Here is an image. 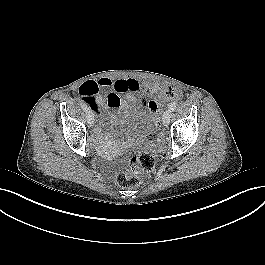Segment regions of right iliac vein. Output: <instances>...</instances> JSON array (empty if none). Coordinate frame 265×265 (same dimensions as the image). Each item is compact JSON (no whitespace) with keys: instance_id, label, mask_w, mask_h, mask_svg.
<instances>
[{"instance_id":"right-iliac-vein-1","label":"right iliac vein","mask_w":265,"mask_h":265,"mask_svg":"<svg viewBox=\"0 0 265 265\" xmlns=\"http://www.w3.org/2000/svg\"><path fill=\"white\" fill-rule=\"evenodd\" d=\"M86 119H87V123L91 126L94 122V116L90 109H87L86 111Z\"/></svg>"}]
</instances>
